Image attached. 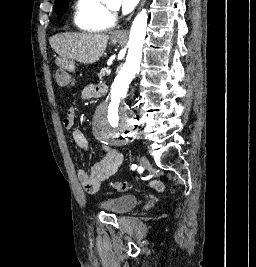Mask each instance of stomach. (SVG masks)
Returning a JSON list of instances; mask_svg holds the SVG:
<instances>
[{
	"mask_svg": "<svg viewBox=\"0 0 256 267\" xmlns=\"http://www.w3.org/2000/svg\"><path fill=\"white\" fill-rule=\"evenodd\" d=\"M114 40L116 36H113ZM119 38L115 40V42H118ZM120 40H123V38H120ZM54 67H74V62H54Z\"/></svg>",
	"mask_w": 256,
	"mask_h": 267,
	"instance_id": "stomach-1",
	"label": "stomach"
}]
</instances>
